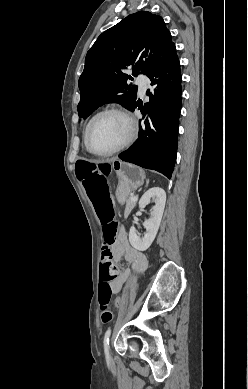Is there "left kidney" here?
Returning a JSON list of instances; mask_svg holds the SVG:
<instances>
[{
    "label": "left kidney",
    "instance_id": "obj_1",
    "mask_svg": "<svg viewBox=\"0 0 248 389\" xmlns=\"http://www.w3.org/2000/svg\"><path fill=\"white\" fill-rule=\"evenodd\" d=\"M151 200L155 205L151 208L150 218L146 219L143 223L146 229L144 237L140 238L134 226H132L129 231V242L139 251L147 250L157 235L166 202V193L164 189L160 187L149 189L141 197L139 207L144 208Z\"/></svg>",
    "mask_w": 248,
    "mask_h": 389
}]
</instances>
